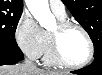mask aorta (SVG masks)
<instances>
[{
    "label": "aorta",
    "mask_w": 102,
    "mask_h": 75,
    "mask_svg": "<svg viewBox=\"0 0 102 75\" xmlns=\"http://www.w3.org/2000/svg\"><path fill=\"white\" fill-rule=\"evenodd\" d=\"M26 5L43 28H50L56 23L54 15L50 12L48 0H26Z\"/></svg>",
    "instance_id": "762f6f07"
}]
</instances>
